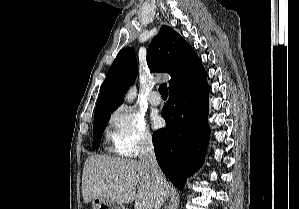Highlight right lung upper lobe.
<instances>
[{
	"label": "right lung upper lobe",
	"instance_id": "right-lung-upper-lobe-1",
	"mask_svg": "<svg viewBox=\"0 0 299 209\" xmlns=\"http://www.w3.org/2000/svg\"><path fill=\"white\" fill-rule=\"evenodd\" d=\"M147 64L156 72L170 74L169 90L184 86L205 73L201 60L191 46L172 28L162 26L147 51ZM138 73L133 48L122 49L103 82L94 115L112 112L123 102V95Z\"/></svg>",
	"mask_w": 299,
	"mask_h": 209
}]
</instances>
